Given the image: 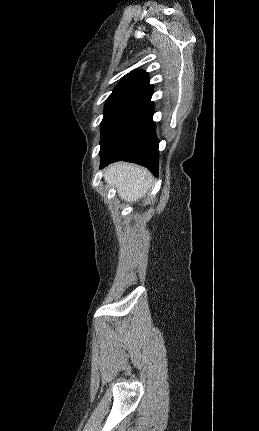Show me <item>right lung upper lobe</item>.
Masks as SVG:
<instances>
[{"mask_svg":"<svg viewBox=\"0 0 259 431\" xmlns=\"http://www.w3.org/2000/svg\"><path fill=\"white\" fill-rule=\"evenodd\" d=\"M129 86L148 89L153 93V87L149 84L148 74L142 70H134L131 73L125 75L113 92L122 91Z\"/></svg>","mask_w":259,"mask_h":431,"instance_id":"obj_1","label":"right lung upper lobe"}]
</instances>
